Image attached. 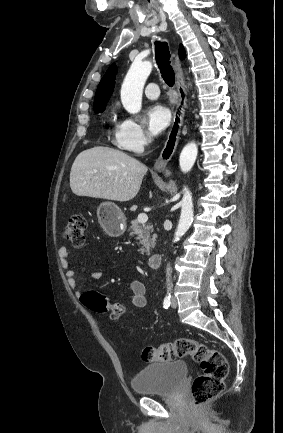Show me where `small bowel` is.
<instances>
[{
	"instance_id": "1",
	"label": "small bowel",
	"mask_w": 283,
	"mask_h": 433,
	"mask_svg": "<svg viewBox=\"0 0 283 433\" xmlns=\"http://www.w3.org/2000/svg\"><path fill=\"white\" fill-rule=\"evenodd\" d=\"M59 259L63 269L65 270V275L67 277L68 285L71 290L74 292L76 297L81 296V292L79 291L78 283L76 280V273L74 269L70 265V260L72 258L70 251L62 246L58 250ZM103 276V272H93L91 273V277L93 279L99 280ZM130 292H131V301L134 307L143 308L146 306V288L145 285L138 280H134L130 283Z\"/></svg>"
}]
</instances>
